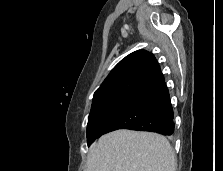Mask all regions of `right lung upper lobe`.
<instances>
[{"mask_svg":"<svg viewBox=\"0 0 223 171\" xmlns=\"http://www.w3.org/2000/svg\"><path fill=\"white\" fill-rule=\"evenodd\" d=\"M163 80L153 54L135 51L114 67L94 93L93 101L114 95L138 96Z\"/></svg>","mask_w":223,"mask_h":171,"instance_id":"1","label":"right lung upper lobe"}]
</instances>
